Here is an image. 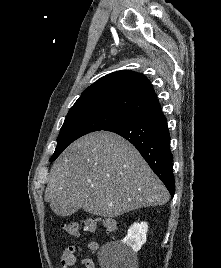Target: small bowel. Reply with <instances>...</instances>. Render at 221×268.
<instances>
[{"label": "small bowel", "mask_w": 221, "mask_h": 268, "mask_svg": "<svg viewBox=\"0 0 221 268\" xmlns=\"http://www.w3.org/2000/svg\"><path fill=\"white\" fill-rule=\"evenodd\" d=\"M99 245L95 241H90L87 243V252L91 255L96 253ZM82 247L78 244H72L68 246L62 253L60 257V264L62 268H70L75 265H81L83 268H95V263L90 256L79 257L82 252Z\"/></svg>", "instance_id": "obj_1"}]
</instances>
